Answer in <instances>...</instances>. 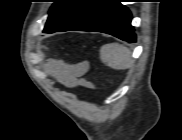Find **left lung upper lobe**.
Returning <instances> with one entry per match:
<instances>
[{"label":"left lung upper lobe","mask_w":182,"mask_h":140,"mask_svg":"<svg viewBox=\"0 0 182 140\" xmlns=\"http://www.w3.org/2000/svg\"><path fill=\"white\" fill-rule=\"evenodd\" d=\"M106 0H54L44 33L67 31Z\"/></svg>","instance_id":"obj_1"}]
</instances>
